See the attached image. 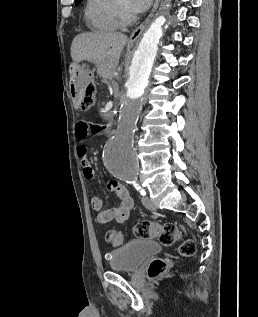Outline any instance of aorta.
Here are the masks:
<instances>
[{"label": "aorta", "instance_id": "762f6f07", "mask_svg": "<svg viewBox=\"0 0 258 317\" xmlns=\"http://www.w3.org/2000/svg\"><path fill=\"white\" fill-rule=\"evenodd\" d=\"M164 22L162 16L155 19L133 55L126 83V98L119 111L116 134L107 142L103 154L106 168L113 176L122 180H134L138 174L139 162L133 146L134 132L142 109L141 96L149 83L159 40L163 36Z\"/></svg>", "mask_w": 258, "mask_h": 317}]
</instances>
